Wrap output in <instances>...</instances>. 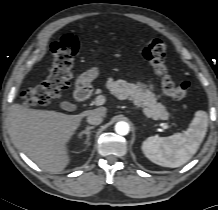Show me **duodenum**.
<instances>
[{"mask_svg": "<svg viewBox=\"0 0 218 210\" xmlns=\"http://www.w3.org/2000/svg\"><path fill=\"white\" fill-rule=\"evenodd\" d=\"M91 95L90 85L84 79H80L75 90V99L79 103H83L89 99Z\"/></svg>", "mask_w": 218, "mask_h": 210, "instance_id": "duodenum-1", "label": "duodenum"}]
</instances>
